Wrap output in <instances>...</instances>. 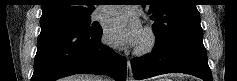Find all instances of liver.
<instances>
[{
  "instance_id": "obj_1",
  "label": "liver",
  "mask_w": 237,
  "mask_h": 81,
  "mask_svg": "<svg viewBox=\"0 0 237 81\" xmlns=\"http://www.w3.org/2000/svg\"><path fill=\"white\" fill-rule=\"evenodd\" d=\"M102 76L79 74L65 78V81H104Z\"/></svg>"
}]
</instances>
